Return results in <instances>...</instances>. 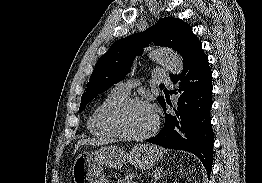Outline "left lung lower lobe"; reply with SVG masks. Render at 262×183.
<instances>
[{
    "label": "left lung lower lobe",
    "instance_id": "1",
    "mask_svg": "<svg viewBox=\"0 0 262 183\" xmlns=\"http://www.w3.org/2000/svg\"><path fill=\"white\" fill-rule=\"evenodd\" d=\"M170 77L174 84H179L172 91L178 98L175 113H166V102L163 100L160 105L165 112V126L159 134L146 141L195 154L209 176L212 170L214 134L210 116L212 71L208 57L200 49L183 64L181 74H172Z\"/></svg>",
    "mask_w": 262,
    "mask_h": 183
}]
</instances>
